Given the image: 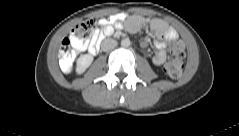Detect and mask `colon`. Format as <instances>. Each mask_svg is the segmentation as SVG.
I'll return each instance as SVG.
<instances>
[{"label": "colon", "mask_w": 239, "mask_h": 136, "mask_svg": "<svg viewBox=\"0 0 239 136\" xmlns=\"http://www.w3.org/2000/svg\"><path fill=\"white\" fill-rule=\"evenodd\" d=\"M96 26V19L90 18L76 25L72 34L65 38L59 49V62L62 69L69 71L76 48L75 41H84L88 39ZM185 55L184 44L180 41H175L170 47V58L164 65V70L172 78H177L183 71V59Z\"/></svg>", "instance_id": "1"}]
</instances>
